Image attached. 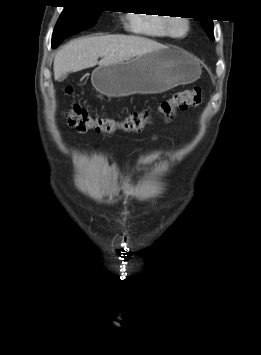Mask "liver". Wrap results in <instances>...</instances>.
Here are the masks:
<instances>
[{
  "label": "liver",
  "instance_id": "1",
  "mask_svg": "<svg viewBox=\"0 0 261 355\" xmlns=\"http://www.w3.org/2000/svg\"><path fill=\"white\" fill-rule=\"evenodd\" d=\"M164 46L152 39L133 35L81 37L70 41L55 55L53 70L58 80L63 74L95 65L127 61ZM101 60L98 62V59Z\"/></svg>",
  "mask_w": 261,
  "mask_h": 355
}]
</instances>
